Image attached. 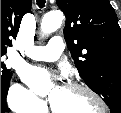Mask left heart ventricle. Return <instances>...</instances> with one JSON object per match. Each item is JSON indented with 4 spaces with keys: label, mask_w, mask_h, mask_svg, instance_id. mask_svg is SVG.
Wrapping results in <instances>:
<instances>
[{
    "label": "left heart ventricle",
    "mask_w": 121,
    "mask_h": 113,
    "mask_svg": "<svg viewBox=\"0 0 121 113\" xmlns=\"http://www.w3.org/2000/svg\"><path fill=\"white\" fill-rule=\"evenodd\" d=\"M55 109L60 113L67 112H98L100 106L86 93L60 87L52 100Z\"/></svg>",
    "instance_id": "left-heart-ventricle-1"
}]
</instances>
